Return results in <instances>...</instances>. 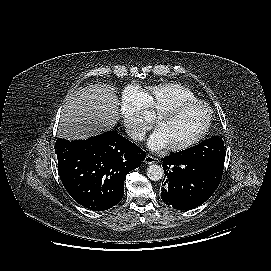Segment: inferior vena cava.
Masks as SVG:
<instances>
[{"label": "inferior vena cava", "instance_id": "inferior-vena-cava-1", "mask_svg": "<svg viewBox=\"0 0 271 271\" xmlns=\"http://www.w3.org/2000/svg\"><path fill=\"white\" fill-rule=\"evenodd\" d=\"M127 134L130 138L138 141H142L145 138V133L142 131L127 130Z\"/></svg>", "mask_w": 271, "mask_h": 271}]
</instances>
